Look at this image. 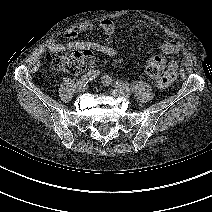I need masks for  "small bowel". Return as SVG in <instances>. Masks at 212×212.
Instances as JSON below:
<instances>
[{"label": "small bowel", "mask_w": 212, "mask_h": 212, "mask_svg": "<svg viewBox=\"0 0 212 212\" xmlns=\"http://www.w3.org/2000/svg\"><path fill=\"white\" fill-rule=\"evenodd\" d=\"M106 36H112L115 33V25L110 19H102L99 23ZM94 29L92 24H82L77 29L69 30L65 33L67 42L61 43L56 40H50L47 45V51L51 54L61 53L68 50H93L100 52L108 57H115L118 51L111 46L89 41H78L80 33L88 32ZM181 51V44L174 40H166L162 44V52L165 55H176ZM155 61L163 65L166 77L162 81H158V85L165 89L169 87L177 74V62L174 60L166 61L163 56L157 55L151 57L147 62Z\"/></svg>", "instance_id": "obj_1"}]
</instances>
